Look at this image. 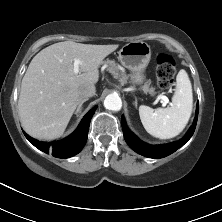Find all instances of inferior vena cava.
Returning <instances> with one entry per match:
<instances>
[{
	"label": "inferior vena cava",
	"mask_w": 222,
	"mask_h": 222,
	"mask_svg": "<svg viewBox=\"0 0 222 222\" xmlns=\"http://www.w3.org/2000/svg\"><path fill=\"white\" fill-rule=\"evenodd\" d=\"M94 95H95L94 84H88V85L82 86L79 89V96L81 99H88L89 97H92Z\"/></svg>",
	"instance_id": "1"
}]
</instances>
